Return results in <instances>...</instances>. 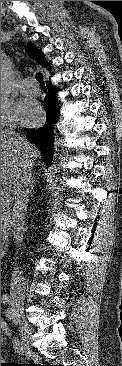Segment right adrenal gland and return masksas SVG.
<instances>
[{
    "instance_id": "right-adrenal-gland-1",
    "label": "right adrenal gland",
    "mask_w": 122,
    "mask_h": 366,
    "mask_svg": "<svg viewBox=\"0 0 122 366\" xmlns=\"http://www.w3.org/2000/svg\"><path fill=\"white\" fill-rule=\"evenodd\" d=\"M35 184H36V181H35V178H34V180L32 181V184H31V194L34 193V186H35Z\"/></svg>"
}]
</instances>
